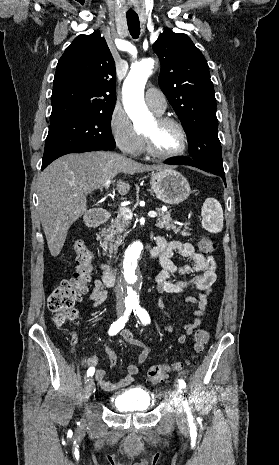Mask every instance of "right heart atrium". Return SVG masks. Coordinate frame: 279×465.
Returning <instances> with one entry per match:
<instances>
[{"label":"right heart atrium","mask_w":279,"mask_h":465,"mask_svg":"<svg viewBox=\"0 0 279 465\" xmlns=\"http://www.w3.org/2000/svg\"><path fill=\"white\" fill-rule=\"evenodd\" d=\"M109 130L113 141L122 152L137 153L141 136L135 131L128 115L122 108L115 107L111 112Z\"/></svg>","instance_id":"obj_1"}]
</instances>
